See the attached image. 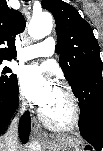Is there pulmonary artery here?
<instances>
[{
  "instance_id": "1",
  "label": "pulmonary artery",
  "mask_w": 103,
  "mask_h": 151,
  "mask_svg": "<svg viewBox=\"0 0 103 151\" xmlns=\"http://www.w3.org/2000/svg\"><path fill=\"white\" fill-rule=\"evenodd\" d=\"M55 40L52 37L44 39L42 42L26 46L20 51V58L31 60L37 57H49L54 54Z\"/></svg>"
}]
</instances>
